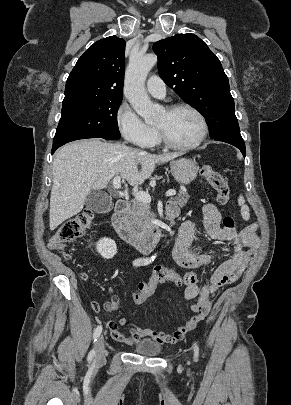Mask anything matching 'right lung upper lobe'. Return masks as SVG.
Wrapping results in <instances>:
<instances>
[{
  "mask_svg": "<svg viewBox=\"0 0 291 405\" xmlns=\"http://www.w3.org/2000/svg\"><path fill=\"white\" fill-rule=\"evenodd\" d=\"M125 41L110 36L95 42L78 59L66 81L63 103L102 98H122Z\"/></svg>",
  "mask_w": 291,
  "mask_h": 405,
  "instance_id": "right-lung-upper-lobe-1",
  "label": "right lung upper lobe"
}]
</instances>
